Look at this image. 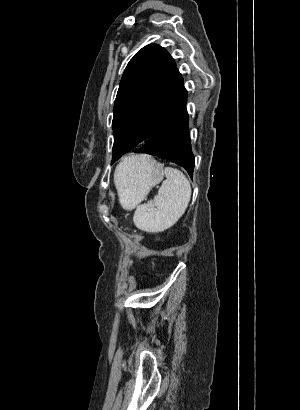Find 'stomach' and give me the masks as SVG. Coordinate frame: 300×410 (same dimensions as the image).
<instances>
[{"label": "stomach", "mask_w": 300, "mask_h": 410, "mask_svg": "<svg viewBox=\"0 0 300 410\" xmlns=\"http://www.w3.org/2000/svg\"><path fill=\"white\" fill-rule=\"evenodd\" d=\"M136 163L124 174L126 186L119 195L125 209H132L140 203L150 190L160 183L164 176L163 165L146 155L134 156Z\"/></svg>", "instance_id": "stomach-1"}]
</instances>
